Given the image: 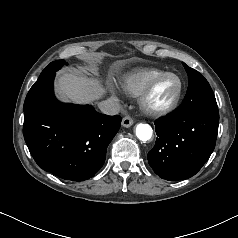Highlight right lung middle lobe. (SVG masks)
Segmentation results:
<instances>
[{
    "mask_svg": "<svg viewBox=\"0 0 238 238\" xmlns=\"http://www.w3.org/2000/svg\"><path fill=\"white\" fill-rule=\"evenodd\" d=\"M63 65H67V62L64 60H57L52 63H50L42 73L50 72V71H57L59 70Z\"/></svg>",
    "mask_w": 238,
    "mask_h": 238,
    "instance_id": "right-lung-middle-lobe-1",
    "label": "right lung middle lobe"
}]
</instances>
